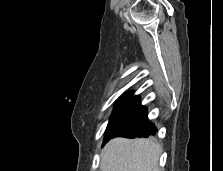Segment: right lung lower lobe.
Masks as SVG:
<instances>
[{"label": "right lung lower lobe", "mask_w": 223, "mask_h": 171, "mask_svg": "<svg viewBox=\"0 0 223 171\" xmlns=\"http://www.w3.org/2000/svg\"><path fill=\"white\" fill-rule=\"evenodd\" d=\"M155 126L147 119V109L139 99L106 132L104 143L114 137H148L156 132Z\"/></svg>", "instance_id": "98d812e1"}]
</instances>
